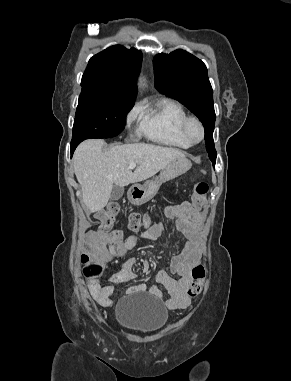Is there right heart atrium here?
<instances>
[{
  "mask_svg": "<svg viewBox=\"0 0 291 381\" xmlns=\"http://www.w3.org/2000/svg\"><path fill=\"white\" fill-rule=\"evenodd\" d=\"M138 112L139 110L137 107H133L132 109L128 111L126 115V119H125L127 127H131V125L135 122L138 116Z\"/></svg>",
  "mask_w": 291,
  "mask_h": 381,
  "instance_id": "1",
  "label": "right heart atrium"
}]
</instances>
